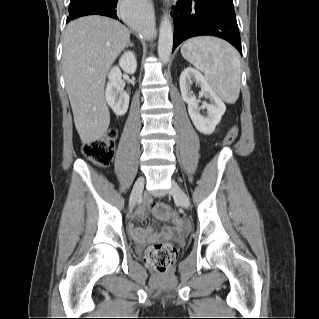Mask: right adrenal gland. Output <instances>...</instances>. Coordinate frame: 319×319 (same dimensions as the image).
I'll return each instance as SVG.
<instances>
[{"instance_id":"right-adrenal-gland-1","label":"right adrenal gland","mask_w":319,"mask_h":319,"mask_svg":"<svg viewBox=\"0 0 319 319\" xmlns=\"http://www.w3.org/2000/svg\"><path fill=\"white\" fill-rule=\"evenodd\" d=\"M128 46L133 47L134 45H133V43L129 42Z\"/></svg>"}]
</instances>
